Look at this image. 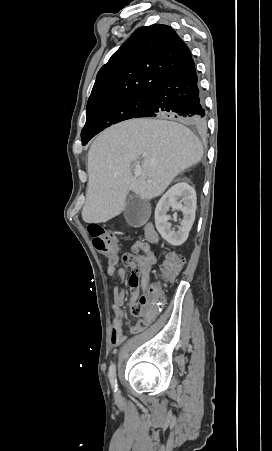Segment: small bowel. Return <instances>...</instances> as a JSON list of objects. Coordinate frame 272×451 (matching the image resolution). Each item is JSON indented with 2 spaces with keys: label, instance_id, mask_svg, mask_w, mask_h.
Wrapping results in <instances>:
<instances>
[{
  "label": "small bowel",
  "instance_id": "c3829d8e",
  "mask_svg": "<svg viewBox=\"0 0 272 451\" xmlns=\"http://www.w3.org/2000/svg\"><path fill=\"white\" fill-rule=\"evenodd\" d=\"M131 252H136L137 256H144L145 261H151L152 268L151 270H148V274H131L129 275L127 279V283L129 286V291L132 298L131 303V313L134 316H146V313H133L132 312V305L133 300H137V296L140 293V285H145L148 281L149 274L154 269V267L157 264L158 258L155 251L150 247V245L147 242L144 241H138L136 242L132 248ZM123 258V256H122ZM106 273L109 276H116L119 280V283L114 287L113 289V304L111 305V310L114 315V323L115 326H117L121 330L122 323L125 319V312L123 310V306L126 301V292L122 289V284L127 278V273L124 268V270H109L108 265L106 269Z\"/></svg>",
  "mask_w": 272,
  "mask_h": 451
}]
</instances>
